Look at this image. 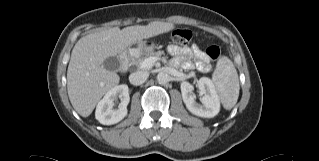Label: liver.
Listing matches in <instances>:
<instances>
[{
	"label": "liver",
	"mask_w": 319,
	"mask_h": 161,
	"mask_svg": "<svg viewBox=\"0 0 319 161\" xmlns=\"http://www.w3.org/2000/svg\"><path fill=\"white\" fill-rule=\"evenodd\" d=\"M174 24L154 21L100 30L80 38L75 44L67 70V90L73 108L88 117L102 96L119 83V76L103 66L109 57L121 54L141 40L174 29Z\"/></svg>",
	"instance_id": "obj_1"
}]
</instances>
